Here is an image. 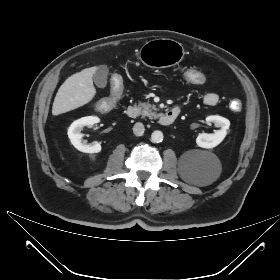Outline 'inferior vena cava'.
I'll use <instances>...</instances> for the list:
<instances>
[{
    "label": "inferior vena cava",
    "instance_id": "602c4592",
    "mask_svg": "<svg viewBox=\"0 0 280 280\" xmlns=\"http://www.w3.org/2000/svg\"><path fill=\"white\" fill-rule=\"evenodd\" d=\"M144 131H145V128H144V125L142 123L137 122V123L134 124V126H133V133L136 136H142Z\"/></svg>",
    "mask_w": 280,
    "mask_h": 280
}]
</instances>
